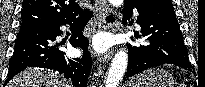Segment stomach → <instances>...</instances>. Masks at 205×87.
Segmentation results:
<instances>
[{
	"mask_svg": "<svg viewBox=\"0 0 205 87\" xmlns=\"http://www.w3.org/2000/svg\"><path fill=\"white\" fill-rule=\"evenodd\" d=\"M173 85L174 79L169 72L161 68H151L133 78L128 87H173Z\"/></svg>",
	"mask_w": 205,
	"mask_h": 87,
	"instance_id": "1",
	"label": "stomach"
}]
</instances>
